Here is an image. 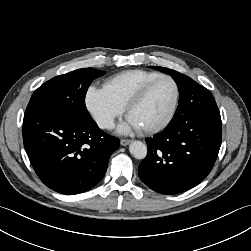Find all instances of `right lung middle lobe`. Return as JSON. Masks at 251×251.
<instances>
[{"mask_svg":"<svg viewBox=\"0 0 251 251\" xmlns=\"http://www.w3.org/2000/svg\"><path fill=\"white\" fill-rule=\"evenodd\" d=\"M104 75L94 68H83L56 76L41 85L32 95L29 106L46 108L76 121L92 119L85 106L91 82Z\"/></svg>","mask_w":251,"mask_h":251,"instance_id":"obj_1","label":"right lung middle lobe"}]
</instances>
